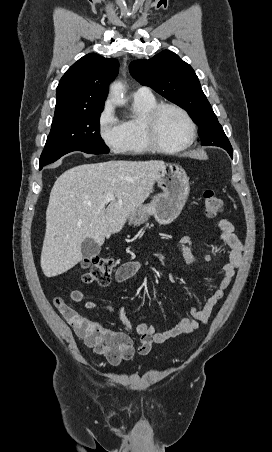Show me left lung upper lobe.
I'll use <instances>...</instances> for the list:
<instances>
[{"instance_id": "5c2ea615", "label": "left lung upper lobe", "mask_w": 272, "mask_h": 452, "mask_svg": "<svg viewBox=\"0 0 272 452\" xmlns=\"http://www.w3.org/2000/svg\"><path fill=\"white\" fill-rule=\"evenodd\" d=\"M129 70L140 84L151 87L188 111L192 120L199 126L202 145L224 148L230 144L201 89L197 75L178 55L164 50L151 59L132 61Z\"/></svg>"}]
</instances>
